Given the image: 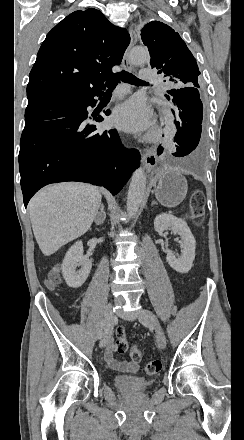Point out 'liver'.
<instances>
[{"label":"liver","instance_id":"1","mask_svg":"<svg viewBox=\"0 0 244 440\" xmlns=\"http://www.w3.org/2000/svg\"><path fill=\"white\" fill-rule=\"evenodd\" d=\"M101 194L96 186L63 182L42 188L30 200L33 234L44 256L83 236L100 208Z\"/></svg>","mask_w":244,"mask_h":440}]
</instances>
